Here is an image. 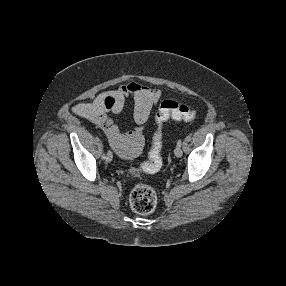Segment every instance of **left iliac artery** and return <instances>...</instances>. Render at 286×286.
<instances>
[{
    "mask_svg": "<svg viewBox=\"0 0 286 286\" xmlns=\"http://www.w3.org/2000/svg\"><path fill=\"white\" fill-rule=\"evenodd\" d=\"M181 145H182V140L179 139L178 142H177V147H181Z\"/></svg>",
    "mask_w": 286,
    "mask_h": 286,
    "instance_id": "obj_1",
    "label": "left iliac artery"
}]
</instances>
